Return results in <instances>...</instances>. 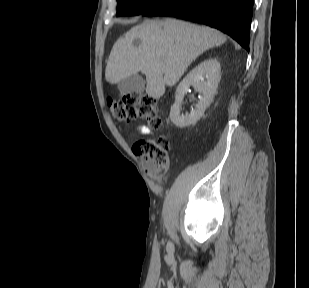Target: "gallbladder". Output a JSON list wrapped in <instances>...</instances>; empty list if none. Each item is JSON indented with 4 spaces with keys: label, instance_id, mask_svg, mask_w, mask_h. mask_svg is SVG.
<instances>
[{
    "label": "gallbladder",
    "instance_id": "bac80fb5",
    "mask_svg": "<svg viewBox=\"0 0 309 288\" xmlns=\"http://www.w3.org/2000/svg\"><path fill=\"white\" fill-rule=\"evenodd\" d=\"M118 89L122 95L133 92L142 93L145 89V81L140 75L134 74L122 79L118 83Z\"/></svg>",
    "mask_w": 309,
    "mask_h": 288
}]
</instances>
